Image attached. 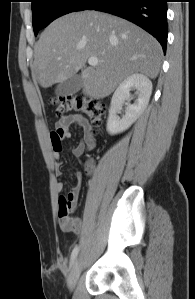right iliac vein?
I'll return each instance as SVG.
<instances>
[{
  "label": "right iliac vein",
  "instance_id": "obj_1",
  "mask_svg": "<svg viewBox=\"0 0 195 299\" xmlns=\"http://www.w3.org/2000/svg\"><path fill=\"white\" fill-rule=\"evenodd\" d=\"M81 272V266L79 259H76L71 267L68 277V288L73 290L76 286L77 280Z\"/></svg>",
  "mask_w": 195,
  "mask_h": 299
}]
</instances>
